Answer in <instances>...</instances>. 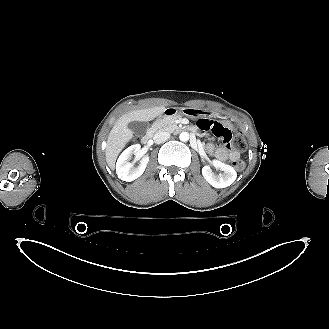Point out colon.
<instances>
[{
  "instance_id": "obj_1",
  "label": "colon",
  "mask_w": 329,
  "mask_h": 329,
  "mask_svg": "<svg viewBox=\"0 0 329 329\" xmlns=\"http://www.w3.org/2000/svg\"><path fill=\"white\" fill-rule=\"evenodd\" d=\"M230 143H232V145L235 148L239 149V150H244L247 146L246 140L242 135L234 136ZM230 143H228V144H230ZM232 165L238 171L244 169V167H245L244 162L242 160H239V159L238 160H233Z\"/></svg>"
}]
</instances>
